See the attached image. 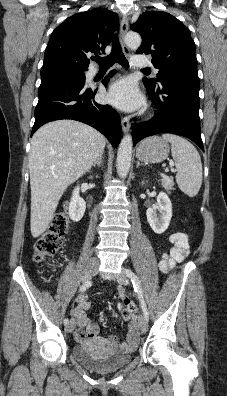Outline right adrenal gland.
<instances>
[{"instance_id":"2a0ac1e0","label":"right adrenal gland","mask_w":227,"mask_h":396,"mask_svg":"<svg viewBox=\"0 0 227 396\" xmlns=\"http://www.w3.org/2000/svg\"><path fill=\"white\" fill-rule=\"evenodd\" d=\"M102 163H103V160H102V154H100L99 155V157L94 161V166H98V167H100V166H102Z\"/></svg>"}]
</instances>
